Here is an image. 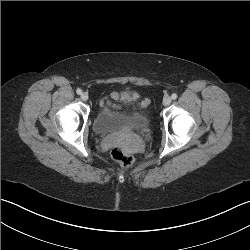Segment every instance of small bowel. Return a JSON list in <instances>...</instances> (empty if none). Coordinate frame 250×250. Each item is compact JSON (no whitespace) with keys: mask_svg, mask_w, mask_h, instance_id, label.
I'll return each mask as SVG.
<instances>
[{"mask_svg":"<svg viewBox=\"0 0 250 250\" xmlns=\"http://www.w3.org/2000/svg\"><path fill=\"white\" fill-rule=\"evenodd\" d=\"M110 99H111V102H112V105L113 107L117 108V109H120L121 108V105H120V102L122 101H128V102H134V103H138V106L140 108H145L148 104V102L146 100H140L139 99V96L137 95H130V94H127V93H123V94H112L110 96ZM103 103H101L102 105Z\"/></svg>","mask_w":250,"mask_h":250,"instance_id":"small-bowel-1","label":"small bowel"}]
</instances>
